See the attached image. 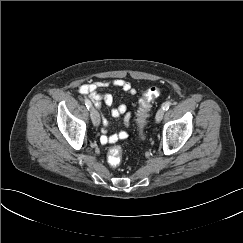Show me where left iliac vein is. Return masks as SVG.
Here are the masks:
<instances>
[{"mask_svg":"<svg viewBox=\"0 0 243 243\" xmlns=\"http://www.w3.org/2000/svg\"><path fill=\"white\" fill-rule=\"evenodd\" d=\"M164 113H165V110H164L163 108H160V109L157 111V113H156V117H155L157 123H159V122L162 120V118H163V116H164Z\"/></svg>","mask_w":243,"mask_h":243,"instance_id":"obj_1","label":"left iliac vein"}]
</instances>
